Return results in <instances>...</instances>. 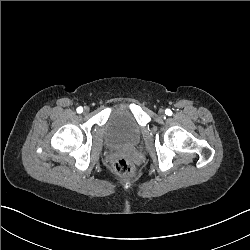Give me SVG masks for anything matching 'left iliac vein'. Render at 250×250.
<instances>
[{
	"label": "left iliac vein",
	"mask_w": 250,
	"mask_h": 250,
	"mask_svg": "<svg viewBox=\"0 0 250 250\" xmlns=\"http://www.w3.org/2000/svg\"><path fill=\"white\" fill-rule=\"evenodd\" d=\"M159 114H160V115H163V114H164V111H163V110H159Z\"/></svg>",
	"instance_id": "left-iliac-vein-1"
}]
</instances>
